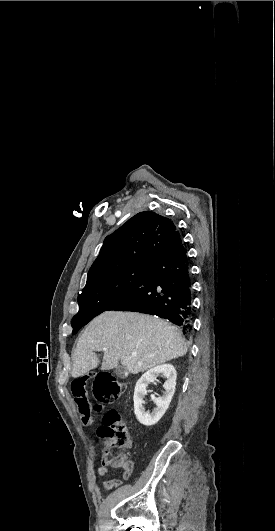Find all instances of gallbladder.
<instances>
[{"instance_id":"1","label":"gallbladder","mask_w":275,"mask_h":531,"mask_svg":"<svg viewBox=\"0 0 275 531\" xmlns=\"http://www.w3.org/2000/svg\"><path fill=\"white\" fill-rule=\"evenodd\" d=\"M114 373L117 375V377H120V379H127L128 377V371H126L125 367H123L121 363H119L118 367H116Z\"/></svg>"}]
</instances>
